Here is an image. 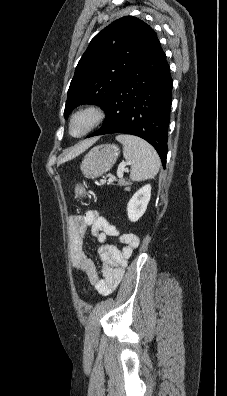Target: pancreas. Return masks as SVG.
Masks as SVG:
<instances>
[{"label": "pancreas", "instance_id": "cf45deb5", "mask_svg": "<svg viewBox=\"0 0 227 396\" xmlns=\"http://www.w3.org/2000/svg\"><path fill=\"white\" fill-rule=\"evenodd\" d=\"M119 185L120 186H126L125 190H127V191L130 190V187H129L130 183L125 181L124 179H120L119 180Z\"/></svg>", "mask_w": 227, "mask_h": 396}]
</instances>
